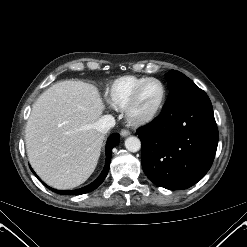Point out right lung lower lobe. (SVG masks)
<instances>
[{"mask_svg":"<svg viewBox=\"0 0 247 247\" xmlns=\"http://www.w3.org/2000/svg\"><path fill=\"white\" fill-rule=\"evenodd\" d=\"M118 143H119V135L118 134L114 133L108 138L107 145H106V163H105V167H104L102 173L100 174V176L93 183H91L90 185H87V186H85L83 188H80V189H77V190H72V191H61V190L52 189V188H50L48 186L47 187L49 189H51L52 191H54V192H56L58 194H62V195H80V194H84V193H88V192L93 191L106 178V176L108 174V171H109L112 148H114L116 145H118ZM32 172L35 174V172L33 170H32Z\"/></svg>","mask_w":247,"mask_h":247,"instance_id":"right-lung-lower-lobe-1","label":"right lung lower lobe"}]
</instances>
